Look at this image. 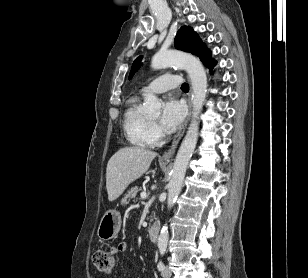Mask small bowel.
I'll return each instance as SVG.
<instances>
[{"label":"small bowel","mask_w":308,"mask_h":278,"mask_svg":"<svg viewBox=\"0 0 308 278\" xmlns=\"http://www.w3.org/2000/svg\"><path fill=\"white\" fill-rule=\"evenodd\" d=\"M126 249H127V243L122 241L119 242L117 245L112 246L110 250L113 254L118 255L125 252Z\"/></svg>","instance_id":"1"}]
</instances>
